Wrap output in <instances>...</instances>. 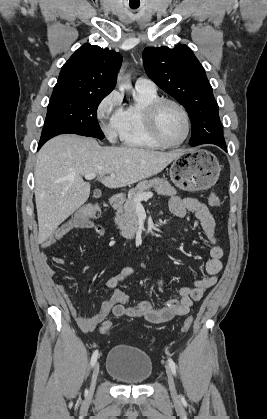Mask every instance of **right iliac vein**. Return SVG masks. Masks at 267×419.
<instances>
[{"label": "right iliac vein", "mask_w": 267, "mask_h": 419, "mask_svg": "<svg viewBox=\"0 0 267 419\" xmlns=\"http://www.w3.org/2000/svg\"><path fill=\"white\" fill-rule=\"evenodd\" d=\"M98 374H99V363H96L94 365V369H93V372H92L91 384H90V389H89V392H88L89 397L93 395V392L95 390Z\"/></svg>", "instance_id": "right-iliac-vein-1"}]
</instances>
